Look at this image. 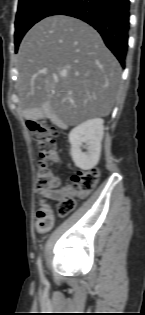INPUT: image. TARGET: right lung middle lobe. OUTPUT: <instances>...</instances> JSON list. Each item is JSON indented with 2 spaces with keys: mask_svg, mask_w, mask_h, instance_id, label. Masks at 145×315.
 <instances>
[{
  "mask_svg": "<svg viewBox=\"0 0 145 315\" xmlns=\"http://www.w3.org/2000/svg\"><path fill=\"white\" fill-rule=\"evenodd\" d=\"M66 0H19L15 21V51L25 33L38 21L51 15Z\"/></svg>",
  "mask_w": 145,
  "mask_h": 315,
  "instance_id": "dd1d6c3e",
  "label": "right lung middle lobe"
}]
</instances>
